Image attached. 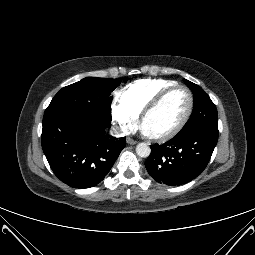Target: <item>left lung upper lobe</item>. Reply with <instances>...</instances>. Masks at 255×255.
I'll list each match as a JSON object with an SVG mask.
<instances>
[{
	"label": "left lung upper lobe",
	"instance_id": "1",
	"mask_svg": "<svg viewBox=\"0 0 255 255\" xmlns=\"http://www.w3.org/2000/svg\"><path fill=\"white\" fill-rule=\"evenodd\" d=\"M194 95V110L178 134L198 131L218 132V114L215 104L198 85L184 79Z\"/></svg>",
	"mask_w": 255,
	"mask_h": 255
}]
</instances>
